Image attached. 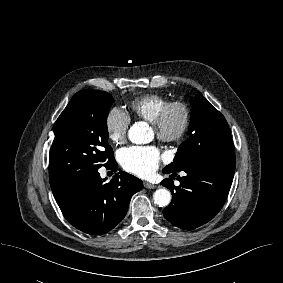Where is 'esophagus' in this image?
I'll return each mask as SVG.
<instances>
[{"label":"esophagus","instance_id":"obj_1","mask_svg":"<svg viewBox=\"0 0 283 283\" xmlns=\"http://www.w3.org/2000/svg\"><path fill=\"white\" fill-rule=\"evenodd\" d=\"M144 187L147 188V189H154L156 188V185L150 183V182H144Z\"/></svg>","mask_w":283,"mask_h":283}]
</instances>
